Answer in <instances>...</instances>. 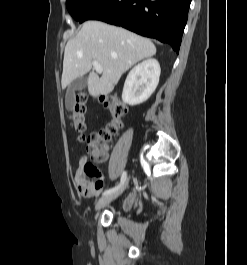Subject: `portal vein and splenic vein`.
Masks as SVG:
<instances>
[{
  "mask_svg": "<svg viewBox=\"0 0 247 265\" xmlns=\"http://www.w3.org/2000/svg\"><path fill=\"white\" fill-rule=\"evenodd\" d=\"M93 67L98 73H102V67L97 61H93Z\"/></svg>",
  "mask_w": 247,
  "mask_h": 265,
  "instance_id": "obj_1",
  "label": "portal vein and splenic vein"
}]
</instances>
